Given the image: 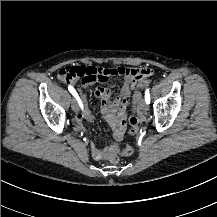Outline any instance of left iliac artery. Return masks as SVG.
Instances as JSON below:
<instances>
[{"instance_id": "obj_1", "label": "left iliac artery", "mask_w": 217, "mask_h": 217, "mask_svg": "<svg viewBox=\"0 0 217 217\" xmlns=\"http://www.w3.org/2000/svg\"><path fill=\"white\" fill-rule=\"evenodd\" d=\"M145 102H146L147 104L150 103L149 89H146V91H145Z\"/></svg>"}]
</instances>
